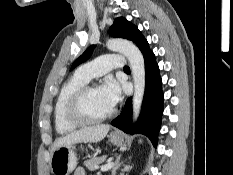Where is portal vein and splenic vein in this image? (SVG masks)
Masks as SVG:
<instances>
[{
  "mask_svg": "<svg viewBox=\"0 0 233 175\" xmlns=\"http://www.w3.org/2000/svg\"><path fill=\"white\" fill-rule=\"evenodd\" d=\"M114 163L113 162H107L105 165L101 166V171H107L113 167Z\"/></svg>",
  "mask_w": 233,
  "mask_h": 175,
  "instance_id": "obj_1",
  "label": "portal vein and splenic vein"
}]
</instances>
